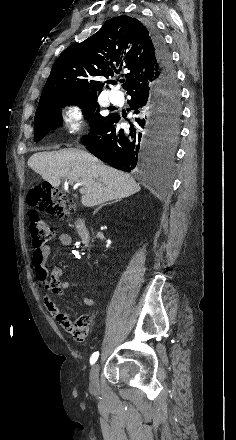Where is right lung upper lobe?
Instances as JSON below:
<instances>
[{
	"mask_svg": "<svg viewBox=\"0 0 236 440\" xmlns=\"http://www.w3.org/2000/svg\"><path fill=\"white\" fill-rule=\"evenodd\" d=\"M122 70L127 93L154 84L160 76L148 28L128 16L110 19L85 41L66 48L52 67L40 101L56 95L97 94L104 86L100 77H114Z\"/></svg>",
	"mask_w": 236,
	"mask_h": 440,
	"instance_id": "right-lung-upper-lobe-1",
	"label": "right lung upper lobe"
}]
</instances>
